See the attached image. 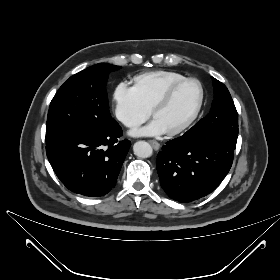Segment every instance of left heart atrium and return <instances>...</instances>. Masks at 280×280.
Wrapping results in <instances>:
<instances>
[{
	"mask_svg": "<svg viewBox=\"0 0 280 280\" xmlns=\"http://www.w3.org/2000/svg\"><path fill=\"white\" fill-rule=\"evenodd\" d=\"M164 132L165 131L161 125L154 119L145 127L131 130L129 135L134 137L157 136L163 134Z\"/></svg>",
	"mask_w": 280,
	"mask_h": 280,
	"instance_id": "1",
	"label": "left heart atrium"
}]
</instances>
